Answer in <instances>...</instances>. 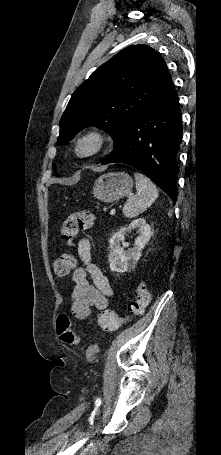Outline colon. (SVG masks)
Returning a JSON list of instances; mask_svg holds the SVG:
<instances>
[{"label": "colon", "mask_w": 221, "mask_h": 455, "mask_svg": "<svg viewBox=\"0 0 221 455\" xmlns=\"http://www.w3.org/2000/svg\"><path fill=\"white\" fill-rule=\"evenodd\" d=\"M94 216L89 211H80L70 215L63 223L61 229L62 240L67 246H72L79 231L87 230L93 226ZM76 260L71 253H64L54 262V271L59 276L69 275L75 268ZM151 300L149 290L140 285L137 287L133 299L127 305L126 315L121 316L113 310H104L98 315L101 328L113 332L120 329L130 316L140 315ZM56 331L60 339L67 344H75L78 341L73 332L72 322L66 314L57 318Z\"/></svg>", "instance_id": "5ec220e1"}]
</instances>
